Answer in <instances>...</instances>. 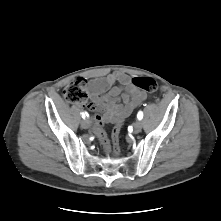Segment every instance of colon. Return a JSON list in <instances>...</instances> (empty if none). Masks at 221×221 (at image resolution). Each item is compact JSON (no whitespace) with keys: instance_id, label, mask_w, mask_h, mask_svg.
Returning <instances> with one entry per match:
<instances>
[{"instance_id":"1","label":"colon","mask_w":221,"mask_h":221,"mask_svg":"<svg viewBox=\"0 0 221 221\" xmlns=\"http://www.w3.org/2000/svg\"><path fill=\"white\" fill-rule=\"evenodd\" d=\"M132 83L141 89H144L149 92L156 90V82L151 77H135L132 79ZM64 98L74 104H83L86 103L88 106H91L87 103L88 93L86 88V80L83 78H78L71 82L64 91ZM121 131V124H115L112 129V146L110 145L106 133L103 129V124L100 122L96 127V132L98 138L103 145V148L106 153L113 152L114 154L119 153V137Z\"/></svg>"}]
</instances>
